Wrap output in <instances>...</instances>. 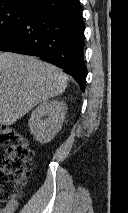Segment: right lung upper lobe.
Wrapping results in <instances>:
<instances>
[{"instance_id": "right-lung-upper-lobe-1", "label": "right lung upper lobe", "mask_w": 128, "mask_h": 213, "mask_svg": "<svg viewBox=\"0 0 128 213\" xmlns=\"http://www.w3.org/2000/svg\"><path fill=\"white\" fill-rule=\"evenodd\" d=\"M38 1L40 0H0V7L15 5L32 8Z\"/></svg>"}]
</instances>
